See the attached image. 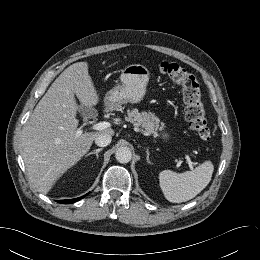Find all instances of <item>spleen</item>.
Wrapping results in <instances>:
<instances>
[{
  "label": "spleen",
  "mask_w": 260,
  "mask_h": 260,
  "mask_svg": "<svg viewBox=\"0 0 260 260\" xmlns=\"http://www.w3.org/2000/svg\"><path fill=\"white\" fill-rule=\"evenodd\" d=\"M213 171L211 161H205L194 170L183 173L164 170L159 174L160 187L168 201L185 202L194 198L209 184Z\"/></svg>",
  "instance_id": "3e777b00"
}]
</instances>
